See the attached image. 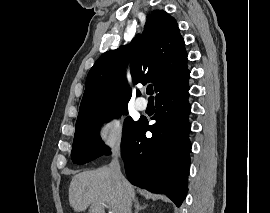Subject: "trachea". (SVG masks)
<instances>
[{"label": "trachea", "mask_w": 270, "mask_h": 213, "mask_svg": "<svg viewBox=\"0 0 270 213\" xmlns=\"http://www.w3.org/2000/svg\"><path fill=\"white\" fill-rule=\"evenodd\" d=\"M146 93L148 94V95H150V99H152L153 97H152V94H153V87L152 86H148L147 87V90H146Z\"/></svg>", "instance_id": "3493384b"}]
</instances>
